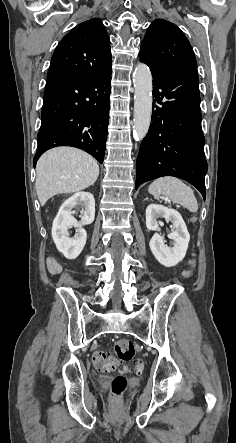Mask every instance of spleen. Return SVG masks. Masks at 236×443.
Segmentation results:
<instances>
[{"instance_id":"spleen-1","label":"spleen","mask_w":236,"mask_h":443,"mask_svg":"<svg viewBox=\"0 0 236 443\" xmlns=\"http://www.w3.org/2000/svg\"><path fill=\"white\" fill-rule=\"evenodd\" d=\"M148 191L155 199L167 196L174 203L186 207L190 212L198 210L193 190L178 178L170 176L158 178L149 185Z\"/></svg>"}]
</instances>
